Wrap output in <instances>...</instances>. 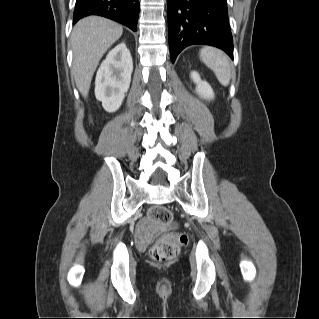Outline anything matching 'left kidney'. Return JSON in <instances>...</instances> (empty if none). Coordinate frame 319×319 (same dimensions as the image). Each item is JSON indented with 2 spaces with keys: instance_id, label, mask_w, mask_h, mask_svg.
Segmentation results:
<instances>
[{
  "instance_id": "5707ae66",
  "label": "left kidney",
  "mask_w": 319,
  "mask_h": 319,
  "mask_svg": "<svg viewBox=\"0 0 319 319\" xmlns=\"http://www.w3.org/2000/svg\"><path fill=\"white\" fill-rule=\"evenodd\" d=\"M191 79L196 84V92L201 98L206 100L214 98L213 89L206 81L201 80L200 75L197 72H191Z\"/></svg>"
}]
</instances>
